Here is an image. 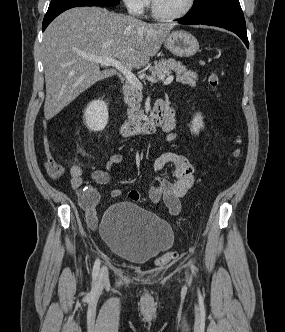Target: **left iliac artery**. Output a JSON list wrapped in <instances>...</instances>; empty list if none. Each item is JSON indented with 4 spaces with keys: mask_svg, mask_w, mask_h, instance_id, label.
Masks as SVG:
<instances>
[{
    "mask_svg": "<svg viewBox=\"0 0 285 332\" xmlns=\"http://www.w3.org/2000/svg\"><path fill=\"white\" fill-rule=\"evenodd\" d=\"M191 270H192V272L195 274V270H196V268H195V266L191 263Z\"/></svg>",
    "mask_w": 285,
    "mask_h": 332,
    "instance_id": "1",
    "label": "left iliac artery"
}]
</instances>
